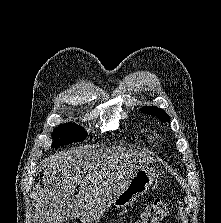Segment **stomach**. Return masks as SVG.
Listing matches in <instances>:
<instances>
[{"mask_svg":"<svg viewBox=\"0 0 221 223\" xmlns=\"http://www.w3.org/2000/svg\"><path fill=\"white\" fill-rule=\"evenodd\" d=\"M156 176L155 169L146 165L137 169L130 178L127 186L113 200L117 208H123L132 203L136 198L146 193Z\"/></svg>","mask_w":221,"mask_h":223,"instance_id":"obj_1","label":"stomach"}]
</instances>
